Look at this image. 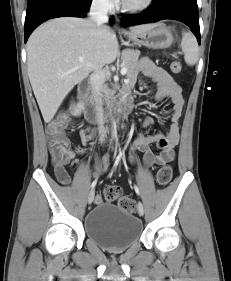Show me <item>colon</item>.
Segmentation results:
<instances>
[{"label": "colon", "mask_w": 231, "mask_h": 281, "mask_svg": "<svg viewBox=\"0 0 231 281\" xmlns=\"http://www.w3.org/2000/svg\"><path fill=\"white\" fill-rule=\"evenodd\" d=\"M174 74L181 72V64L174 61L170 65ZM68 124V116L62 114L51 121L47 127L49 138V150L52 162L55 165H65L70 160V145L66 137V128ZM172 168L169 165L162 166L157 172V182L160 185H167L172 179ZM104 199L107 202H118V205L126 212L133 213L136 209L135 202L126 197H122V190L118 186H108L104 190ZM101 198L96 199V203H100Z\"/></svg>", "instance_id": "colon-1"}]
</instances>
